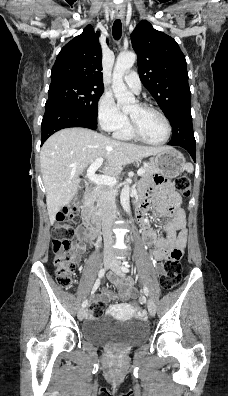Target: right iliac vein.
Segmentation results:
<instances>
[{
  "mask_svg": "<svg viewBox=\"0 0 228 396\" xmlns=\"http://www.w3.org/2000/svg\"><path fill=\"white\" fill-rule=\"evenodd\" d=\"M112 263H113V262H112L111 256H110V255H105L104 258H103V265H104V267H105L106 269H108V268H110V267L112 266ZM77 316H78V319H79V320H83V319L85 318V309H84V308H81V309L78 311Z\"/></svg>",
  "mask_w": 228,
  "mask_h": 396,
  "instance_id": "obj_1",
  "label": "right iliac vein"
}]
</instances>
